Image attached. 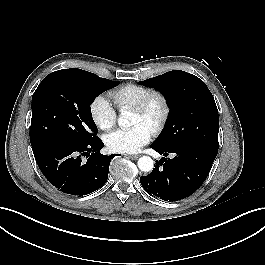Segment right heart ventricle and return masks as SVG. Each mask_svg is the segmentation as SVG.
Instances as JSON below:
<instances>
[{
    "mask_svg": "<svg viewBox=\"0 0 265 265\" xmlns=\"http://www.w3.org/2000/svg\"><path fill=\"white\" fill-rule=\"evenodd\" d=\"M152 89L139 84H126L111 93L115 105L120 110L132 109Z\"/></svg>",
    "mask_w": 265,
    "mask_h": 265,
    "instance_id": "right-heart-ventricle-1",
    "label": "right heart ventricle"
}]
</instances>
